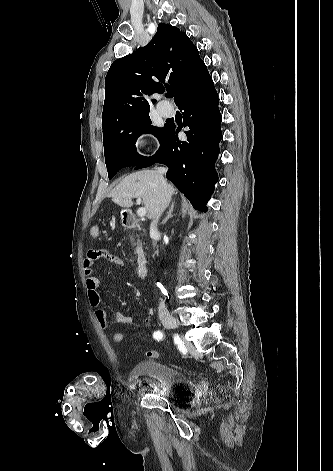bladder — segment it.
Listing matches in <instances>:
<instances>
[{"mask_svg": "<svg viewBox=\"0 0 333 471\" xmlns=\"http://www.w3.org/2000/svg\"><path fill=\"white\" fill-rule=\"evenodd\" d=\"M130 373L132 376L152 380L158 394L169 402L188 398L194 390L192 381L183 372L155 359L137 362Z\"/></svg>", "mask_w": 333, "mask_h": 471, "instance_id": "obj_1", "label": "bladder"}]
</instances>
